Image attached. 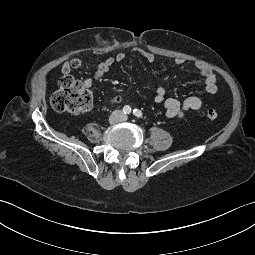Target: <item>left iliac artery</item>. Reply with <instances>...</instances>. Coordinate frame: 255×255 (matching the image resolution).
Masks as SVG:
<instances>
[{"label": "left iliac artery", "mask_w": 255, "mask_h": 255, "mask_svg": "<svg viewBox=\"0 0 255 255\" xmlns=\"http://www.w3.org/2000/svg\"><path fill=\"white\" fill-rule=\"evenodd\" d=\"M133 114L138 118H142V112L138 109H134Z\"/></svg>", "instance_id": "44dca946"}]
</instances>
